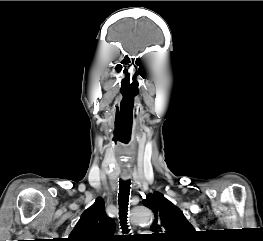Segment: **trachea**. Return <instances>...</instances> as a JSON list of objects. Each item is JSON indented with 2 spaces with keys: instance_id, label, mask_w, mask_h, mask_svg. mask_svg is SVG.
I'll return each mask as SVG.
<instances>
[{
  "instance_id": "3493384b",
  "label": "trachea",
  "mask_w": 263,
  "mask_h": 241,
  "mask_svg": "<svg viewBox=\"0 0 263 241\" xmlns=\"http://www.w3.org/2000/svg\"><path fill=\"white\" fill-rule=\"evenodd\" d=\"M130 180L119 181V196L118 202L120 207L119 219L121 224V229L123 233H129L127 225V212H128V203L130 195Z\"/></svg>"
}]
</instances>
